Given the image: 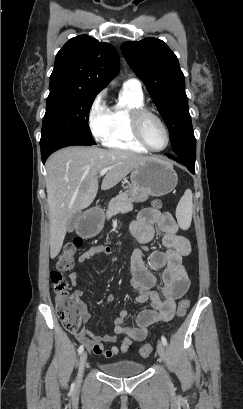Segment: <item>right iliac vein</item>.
Listing matches in <instances>:
<instances>
[{"label": "right iliac vein", "instance_id": "1", "mask_svg": "<svg viewBox=\"0 0 243 409\" xmlns=\"http://www.w3.org/2000/svg\"><path fill=\"white\" fill-rule=\"evenodd\" d=\"M86 361H87V353L83 352L79 358V369H78V379L79 380L81 379L82 374L84 372Z\"/></svg>", "mask_w": 243, "mask_h": 409}]
</instances>
